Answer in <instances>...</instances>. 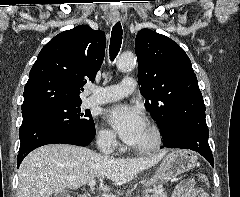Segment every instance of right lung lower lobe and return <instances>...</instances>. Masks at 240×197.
<instances>
[{"label":"right lung lower lobe","instance_id":"1","mask_svg":"<svg viewBox=\"0 0 240 197\" xmlns=\"http://www.w3.org/2000/svg\"><path fill=\"white\" fill-rule=\"evenodd\" d=\"M94 136L95 128L92 132L83 133L49 116L25 115L19 130L20 148L17 167L24 157L37 147L52 143L87 146Z\"/></svg>","mask_w":240,"mask_h":197}]
</instances>
